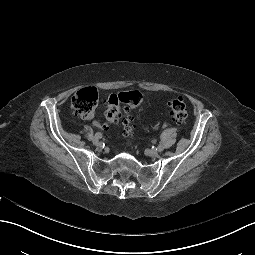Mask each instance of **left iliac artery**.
Returning a JSON list of instances; mask_svg holds the SVG:
<instances>
[{"mask_svg":"<svg viewBox=\"0 0 255 255\" xmlns=\"http://www.w3.org/2000/svg\"><path fill=\"white\" fill-rule=\"evenodd\" d=\"M157 150H158L159 152L163 151V146H162L161 144H159L158 147H157Z\"/></svg>","mask_w":255,"mask_h":255,"instance_id":"44dca946","label":"left iliac artery"}]
</instances>
